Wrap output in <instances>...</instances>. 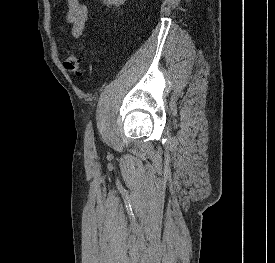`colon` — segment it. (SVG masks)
<instances>
[{
    "label": "colon",
    "instance_id": "5ec220e1",
    "mask_svg": "<svg viewBox=\"0 0 275 263\" xmlns=\"http://www.w3.org/2000/svg\"><path fill=\"white\" fill-rule=\"evenodd\" d=\"M65 69L72 75L81 78L84 73L83 59L81 55L75 51L68 54L64 61Z\"/></svg>",
    "mask_w": 275,
    "mask_h": 263
}]
</instances>
